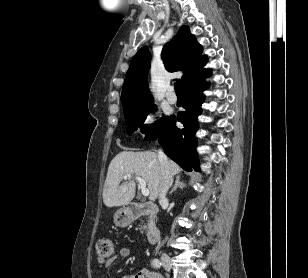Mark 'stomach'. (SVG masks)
Masks as SVG:
<instances>
[{
  "label": "stomach",
  "mask_w": 308,
  "mask_h": 278,
  "mask_svg": "<svg viewBox=\"0 0 308 278\" xmlns=\"http://www.w3.org/2000/svg\"><path fill=\"white\" fill-rule=\"evenodd\" d=\"M130 212L126 208H122L114 214V223L117 226L124 227L130 223Z\"/></svg>",
  "instance_id": "0dacf381"
}]
</instances>
